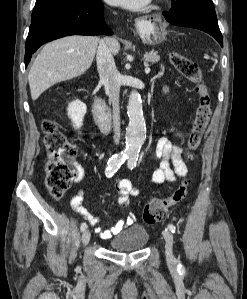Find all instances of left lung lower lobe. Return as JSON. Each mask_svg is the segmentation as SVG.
I'll return each instance as SVG.
<instances>
[{
	"label": "left lung lower lobe",
	"mask_w": 247,
	"mask_h": 299,
	"mask_svg": "<svg viewBox=\"0 0 247 299\" xmlns=\"http://www.w3.org/2000/svg\"><path fill=\"white\" fill-rule=\"evenodd\" d=\"M163 15L173 25L196 28L210 34L223 47L222 34L214 8L196 2H188L174 10L163 12Z\"/></svg>",
	"instance_id": "1"
}]
</instances>
